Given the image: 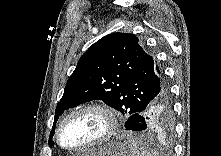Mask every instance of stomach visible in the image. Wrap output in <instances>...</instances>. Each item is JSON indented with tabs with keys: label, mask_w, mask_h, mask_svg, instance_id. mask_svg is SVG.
<instances>
[{
	"label": "stomach",
	"mask_w": 221,
	"mask_h": 156,
	"mask_svg": "<svg viewBox=\"0 0 221 156\" xmlns=\"http://www.w3.org/2000/svg\"><path fill=\"white\" fill-rule=\"evenodd\" d=\"M89 156H131L129 147L125 143L111 142L107 145L93 148Z\"/></svg>",
	"instance_id": "0dacf381"
}]
</instances>
